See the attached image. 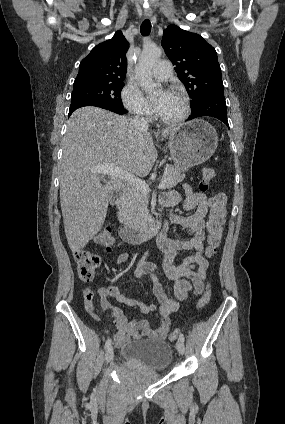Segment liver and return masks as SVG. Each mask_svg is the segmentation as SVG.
I'll return each instance as SVG.
<instances>
[{
	"label": "liver",
	"instance_id": "obj_1",
	"mask_svg": "<svg viewBox=\"0 0 285 424\" xmlns=\"http://www.w3.org/2000/svg\"><path fill=\"white\" fill-rule=\"evenodd\" d=\"M175 128L164 129L167 137ZM59 165L60 203L66 238L78 252L100 231L110 196L123 189L122 179L104 185L93 168L114 164L133 175L151 171L157 150L148 131L134 127L128 117L98 107L77 109L67 122Z\"/></svg>",
	"mask_w": 285,
	"mask_h": 424
}]
</instances>
